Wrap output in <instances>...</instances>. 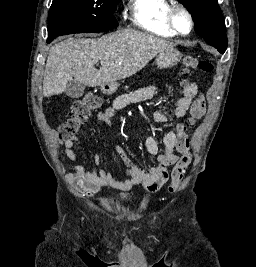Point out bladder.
Segmentation results:
<instances>
[{
	"label": "bladder",
	"instance_id": "bladder-1",
	"mask_svg": "<svg viewBox=\"0 0 256 267\" xmlns=\"http://www.w3.org/2000/svg\"><path fill=\"white\" fill-rule=\"evenodd\" d=\"M129 195L128 194H120L116 197L117 200H120L121 197H128Z\"/></svg>",
	"mask_w": 256,
	"mask_h": 267
}]
</instances>
